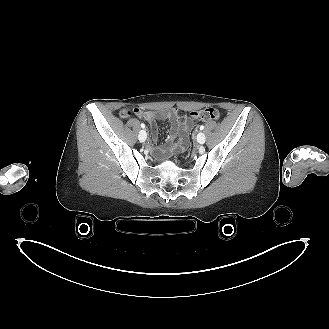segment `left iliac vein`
Returning a JSON list of instances; mask_svg holds the SVG:
<instances>
[{
    "instance_id": "obj_1",
    "label": "left iliac vein",
    "mask_w": 329,
    "mask_h": 329,
    "mask_svg": "<svg viewBox=\"0 0 329 329\" xmlns=\"http://www.w3.org/2000/svg\"><path fill=\"white\" fill-rule=\"evenodd\" d=\"M205 140H206L205 134L202 133V132H199L198 135H197V142L199 144H204L205 143Z\"/></svg>"
}]
</instances>
